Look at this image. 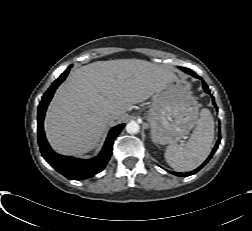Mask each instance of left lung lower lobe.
<instances>
[{"mask_svg": "<svg viewBox=\"0 0 252 231\" xmlns=\"http://www.w3.org/2000/svg\"><path fill=\"white\" fill-rule=\"evenodd\" d=\"M181 70H183L184 72L196 77V78H199L201 79L196 73H194L192 70L190 69H187V68H184V67H179ZM203 88L205 90L206 93L210 94V91L208 89V86L205 82H203ZM213 105L216 106L215 102H214V98H213ZM220 143V137L218 138V141L216 142V145L214 147V149L212 150V153L210 154V156L206 159V161L200 166L198 167L196 170L192 171V172H188V173H178V172H170L176 176H190V175H193L194 173H196L198 170H200L204 165H206V163L211 159L212 155L214 154V152L217 150L218 148V145Z\"/></svg>", "mask_w": 252, "mask_h": 231, "instance_id": "left-lung-lower-lobe-1", "label": "left lung lower lobe"}]
</instances>
